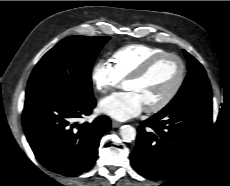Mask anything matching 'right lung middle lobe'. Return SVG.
<instances>
[{
    "label": "right lung middle lobe",
    "mask_w": 230,
    "mask_h": 186,
    "mask_svg": "<svg viewBox=\"0 0 230 186\" xmlns=\"http://www.w3.org/2000/svg\"><path fill=\"white\" fill-rule=\"evenodd\" d=\"M109 39L108 36H70L61 40L35 66L26 99L50 92L92 96V65Z\"/></svg>",
    "instance_id": "obj_1"
}]
</instances>
